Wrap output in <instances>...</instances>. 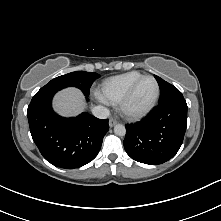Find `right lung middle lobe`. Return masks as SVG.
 Instances as JSON below:
<instances>
[{"mask_svg": "<svg viewBox=\"0 0 221 221\" xmlns=\"http://www.w3.org/2000/svg\"><path fill=\"white\" fill-rule=\"evenodd\" d=\"M99 77L100 75L97 73L85 71L71 72L52 79L48 84L43 86L33 98L46 94H55L57 91L70 86L79 88L85 96H88L92 83Z\"/></svg>", "mask_w": 221, "mask_h": 221, "instance_id": "obj_1", "label": "right lung middle lobe"}]
</instances>
